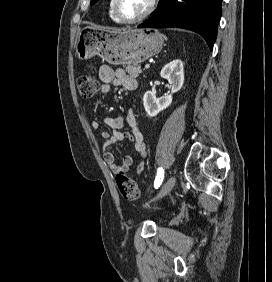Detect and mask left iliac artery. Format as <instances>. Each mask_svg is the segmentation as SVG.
I'll return each instance as SVG.
<instances>
[{"label":"left iliac artery","mask_w":272,"mask_h":282,"mask_svg":"<svg viewBox=\"0 0 272 282\" xmlns=\"http://www.w3.org/2000/svg\"><path fill=\"white\" fill-rule=\"evenodd\" d=\"M163 178H164V169L161 167V168H158L157 176L155 178V182H154L155 188L160 187L163 181Z\"/></svg>","instance_id":"44dca946"}]
</instances>
